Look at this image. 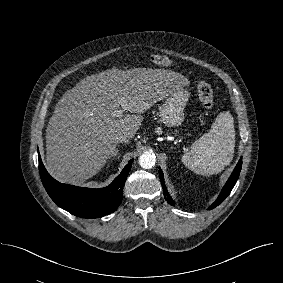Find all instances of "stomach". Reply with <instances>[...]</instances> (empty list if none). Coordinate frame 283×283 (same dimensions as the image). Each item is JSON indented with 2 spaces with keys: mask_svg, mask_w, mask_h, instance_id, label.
I'll return each mask as SVG.
<instances>
[{
  "mask_svg": "<svg viewBox=\"0 0 283 283\" xmlns=\"http://www.w3.org/2000/svg\"><path fill=\"white\" fill-rule=\"evenodd\" d=\"M189 96L190 93L183 87L170 93L159 112L161 123L166 127L180 126L184 121V109Z\"/></svg>",
  "mask_w": 283,
  "mask_h": 283,
  "instance_id": "stomach-1",
  "label": "stomach"
}]
</instances>
